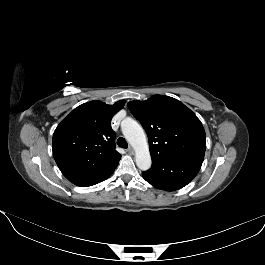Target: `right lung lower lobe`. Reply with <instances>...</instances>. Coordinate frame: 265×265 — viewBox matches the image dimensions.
<instances>
[{
	"label": "right lung lower lobe",
	"instance_id": "obj_1",
	"mask_svg": "<svg viewBox=\"0 0 265 265\" xmlns=\"http://www.w3.org/2000/svg\"><path fill=\"white\" fill-rule=\"evenodd\" d=\"M118 164L108 168V169H93L86 168L82 170H72L62 172L63 175L77 186H92L105 179H107L115 170Z\"/></svg>",
	"mask_w": 265,
	"mask_h": 265
}]
</instances>
